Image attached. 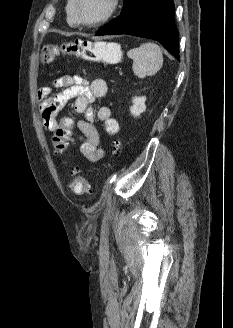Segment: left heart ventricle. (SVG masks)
<instances>
[{
    "instance_id": "1",
    "label": "left heart ventricle",
    "mask_w": 233,
    "mask_h": 328,
    "mask_svg": "<svg viewBox=\"0 0 233 328\" xmlns=\"http://www.w3.org/2000/svg\"><path fill=\"white\" fill-rule=\"evenodd\" d=\"M110 0H80L79 12L84 21L94 22L105 15Z\"/></svg>"
}]
</instances>
